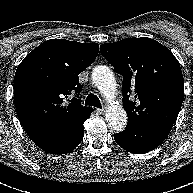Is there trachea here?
Here are the masks:
<instances>
[{
    "mask_svg": "<svg viewBox=\"0 0 193 193\" xmlns=\"http://www.w3.org/2000/svg\"><path fill=\"white\" fill-rule=\"evenodd\" d=\"M85 105H89V106H94L97 108H101V104H100V100L99 98L94 95V94H90L85 101Z\"/></svg>",
    "mask_w": 193,
    "mask_h": 193,
    "instance_id": "1",
    "label": "trachea"
}]
</instances>
